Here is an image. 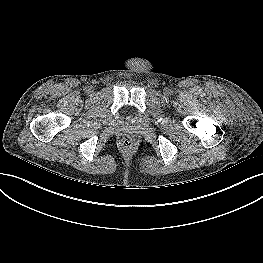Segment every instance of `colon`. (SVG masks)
<instances>
[{
	"label": "colon",
	"instance_id": "colon-1",
	"mask_svg": "<svg viewBox=\"0 0 263 263\" xmlns=\"http://www.w3.org/2000/svg\"><path fill=\"white\" fill-rule=\"evenodd\" d=\"M131 142L128 140V139H124L123 141H122V145H124V146H127V145H129Z\"/></svg>",
	"mask_w": 263,
	"mask_h": 263
}]
</instances>
